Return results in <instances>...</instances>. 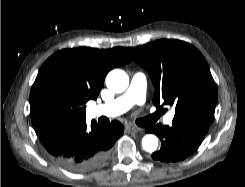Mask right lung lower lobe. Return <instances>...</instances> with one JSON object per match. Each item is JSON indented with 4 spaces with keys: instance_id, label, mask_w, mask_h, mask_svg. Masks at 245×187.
Masks as SVG:
<instances>
[{
    "instance_id": "obj_1",
    "label": "right lung lower lobe",
    "mask_w": 245,
    "mask_h": 187,
    "mask_svg": "<svg viewBox=\"0 0 245 187\" xmlns=\"http://www.w3.org/2000/svg\"><path fill=\"white\" fill-rule=\"evenodd\" d=\"M124 133V127L113 121L107 127L91 123L86 117L53 124L39 135L41 143L56 162L68 170L88 172L101 167L109 158V150Z\"/></svg>"
}]
</instances>
